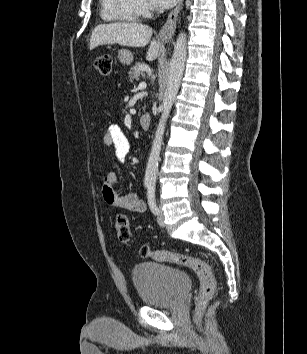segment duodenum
<instances>
[{
    "instance_id": "duodenum-1",
    "label": "duodenum",
    "mask_w": 307,
    "mask_h": 354,
    "mask_svg": "<svg viewBox=\"0 0 307 354\" xmlns=\"http://www.w3.org/2000/svg\"><path fill=\"white\" fill-rule=\"evenodd\" d=\"M151 120H152V117L150 114L148 113H145L143 115H141L140 119H139V123H140V126L144 129V130H147L150 128V125H151Z\"/></svg>"
}]
</instances>
